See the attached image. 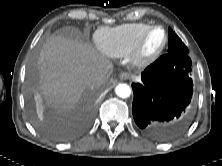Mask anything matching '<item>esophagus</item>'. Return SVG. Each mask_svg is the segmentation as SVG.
Segmentation results:
<instances>
[{"label": "esophagus", "instance_id": "1", "mask_svg": "<svg viewBox=\"0 0 222 166\" xmlns=\"http://www.w3.org/2000/svg\"><path fill=\"white\" fill-rule=\"evenodd\" d=\"M130 77V75H129V73H127V72H121L120 74H119V78L121 79V80H126V79H128Z\"/></svg>", "mask_w": 222, "mask_h": 166}]
</instances>
